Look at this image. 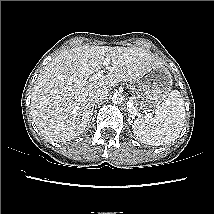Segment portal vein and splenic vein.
<instances>
[{
    "label": "portal vein and splenic vein",
    "mask_w": 214,
    "mask_h": 214,
    "mask_svg": "<svg viewBox=\"0 0 214 214\" xmlns=\"http://www.w3.org/2000/svg\"><path fill=\"white\" fill-rule=\"evenodd\" d=\"M110 63V59L109 58H105L104 61H103V64L107 67ZM103 76V71H99L95 74H93L91 77H90V81H96L98 80L100 77ZM128 108L129 109H132V104L131 102H128Z\"/></svg>",
    "instance_id": "obj_1"
}]
</instances>
